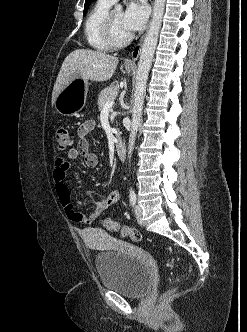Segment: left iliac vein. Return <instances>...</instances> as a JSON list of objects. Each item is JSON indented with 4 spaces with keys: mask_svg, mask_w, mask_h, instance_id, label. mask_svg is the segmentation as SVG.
<instances>
[{
    "mask_svg": "<svg viewBox=\"0 0 247 332\" xmlns=\"http://www.w3.org/2000/svg\"><path fill=\"white\" fill-rule=\"evenodd\" d=\"M134 212H135L137 220L141 221L142 220V215H143L142 207L140 205H136L134 207Z\"/></svg>",
    "mask_w": 247,
    "mask_h": 332,
    "instance_id": "left-iliac-vein-1",
    "label": "left iliac vein"
}]
</instances>
